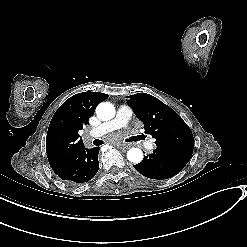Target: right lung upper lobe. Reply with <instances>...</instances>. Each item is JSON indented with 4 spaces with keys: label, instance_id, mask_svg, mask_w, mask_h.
I'll return each instance as SVG.
<instances>
[{
    "label": "right lung upper lobe",
    "instance_id": "obj_1",
    "mask_svg": "<svg viewBox=\"0 0 247 247\" xmlns=\"http://www.w3.org/2000/svg\"><path fill=\"white\" fill-rule=\"evenodd\" d=\"M109 96L99 92H83L67 99L55 112L49 124L46 150L50 165L69 156L83 146L78 131L88 124L96 106Z\"/></svg>",
    "mask_w": 247,
    "mask_h": 247
}]
</instances>
